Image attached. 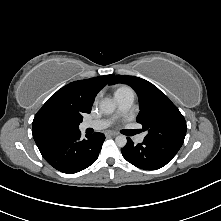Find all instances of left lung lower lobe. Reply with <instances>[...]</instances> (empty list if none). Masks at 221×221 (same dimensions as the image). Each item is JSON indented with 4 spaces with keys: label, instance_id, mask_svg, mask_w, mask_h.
<instances>
[{
    "label": "left lung lower lobe",
    "instance_id": "1",
    "mask_svg": "<svg viewBox=\"0 0 221 221\" xmlns=\"http://www.w3.org/2000/svg\"><path fill=\"white\" fill-rule=\"evenodd\" d=\"M182 144L172 141H154L144 138L141 144L135 145L127 138V144L121 149L123 157L134 166L155 170L165 166L176 155Z\"/></svg>",
    "mask_w": 221,
    "mask_h": 221
}]
</instances>
